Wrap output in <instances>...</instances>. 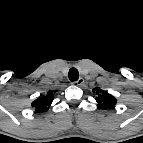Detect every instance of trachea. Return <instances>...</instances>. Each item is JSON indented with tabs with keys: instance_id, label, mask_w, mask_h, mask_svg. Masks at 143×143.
<instances>
[{
	"instance_id": "obj_1",
	"label": "trachea",
	"mask_w": 143,
	"mask_h": 143,
	"mask_svg": "<svg viewBox=\"0 0 143 143\" xmlns=\"http://www.w3.org/2000/svg\"><path fill=\"white\" fill-rule=\"evenodd\" d=\"M70 81H77L79 79V72L76 68H71L68 73Z\"/></svg>"
}]
</instances>
